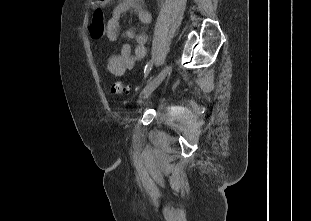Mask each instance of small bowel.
<instances>
[{
  "label": "small bowel",
  "instance_id": "c3829d8e",
  "mask_svg": "<svg viewBox=\"0 0 311 221\" xmlns=\"http://www.w3.org/2000/svg\"><path fill=\"white\" fill-rule=\"evenodd\" d=\"M129 10H134L138 20L143 25H150L152 22L151 14L144 8L143 0H121L112 10L111 17L107 23V37L115 41L119 34L120 18ZM126 37L135 42L134 49L130 44H124L118 54L109 58L108 70L115 76H121L126 71L134 68L137 61L146 55L147 36L143 32L128 30Z\"/></svg>",
  "mask_w": 311,
  "mask_h": 221
}]
</instances>
